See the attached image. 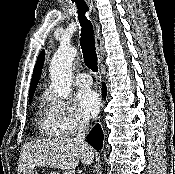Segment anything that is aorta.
<instances>
[{
  "instance_id": "762f6f07",
  "label": "aorta",
  "mask_w": 175,
  "mask_h": 174,
  "mask_svg": "<svg viewBox=\"0 0 175 174\" xmlns=\"http://www.w3.org/2000/svg\"><path fill=\"white\" fill-rule=\"evenodd\" d=\"M77 50L70 44L61 43L50 64V78L54 91L61 98H67L71 92L72 63Z\"/></svg>"
}]
</instances>
